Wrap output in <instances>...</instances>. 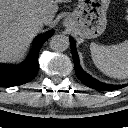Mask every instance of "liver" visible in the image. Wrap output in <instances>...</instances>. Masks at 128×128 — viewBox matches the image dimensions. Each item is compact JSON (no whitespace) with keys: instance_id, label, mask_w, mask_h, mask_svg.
Instances as JSON below:
<instances>
[{"instance_id":"6515ba94","label":"liver","mask_w":128,"mask_h":128,"mask_svg":"<svg viewBox=\"0 0 128 128\" xmlns=\"http://www.w3.org/2000/svg\"><path fill=\"white\" fill-rule=\"evenodd\" d=\"M62 2L71 0H0V63L17 59L44 24H52ZM42 10L49 12L46 23L39 20Z\"/></svg>"}]
</instances>
